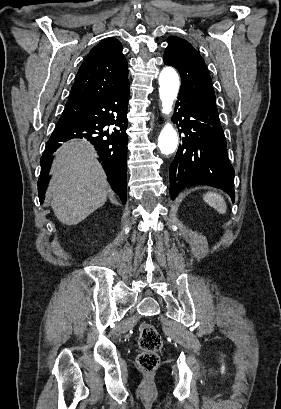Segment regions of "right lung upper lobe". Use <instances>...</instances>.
I'll use <instances>...</instances> for the list:
<instances>
[{
    "mask_svg": "<svg viewBox=\"0 0 281 409\" xmlns=\"http://www.w3.org/2000/svg\"><path fill=\"white\" fill-rule=\"evenodd\" d=\"M122 49L115 38L96 45L78 70L68 102L97 99L128 84L127 61Z\"/></svg>",
    "mask_w": 281,
    "mask_h": 409,
    "instance_id": "1",
    "label": "right lung upper lobe"
}]
</instances>
